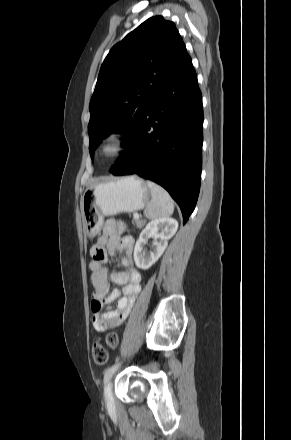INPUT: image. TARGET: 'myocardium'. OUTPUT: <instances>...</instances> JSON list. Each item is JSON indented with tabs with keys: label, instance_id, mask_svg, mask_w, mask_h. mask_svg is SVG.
<instances>
[{
	"label": "myocardium",
	"instance_id": "1",
	"mask_svg": "<svg viewBox=\"0 0 291 440\" xmlns=\"http://www.w3.org/2000/svg\"><path fill=\"white\" fill-rule=\"evenodd\" d=\"M125 147V135L119 131H112L104 136L98 154L102 161L110 162L119 157L124 152Z\"/></svg>",
	"mask_w": 291,
	"mask_h": 440
}]
</instances>
